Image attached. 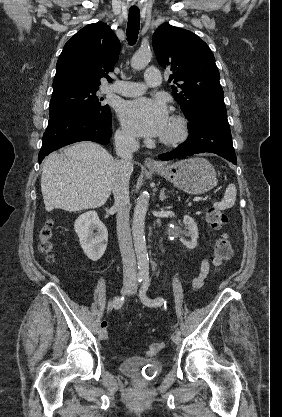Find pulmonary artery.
Instances as JSON below:
<instances>
[{
    "instance_id": "obj_1",
    "label": "pulmonary artery",
    "mask_w": 282,
    "mask_h": 417,
    "mask_svg": "<svg viewBox=\"0 0 282 417\" xmlns=\"http://www.w3.org/2000/svg\"><path fill=\"white\" fill-rule=\"evenodd\" d=\"M161 76L159 70L155 66L146 70L144 73V83L118 81L110 87V91L116 92L123 96H137L144 92L146 85L156 86L160 83Z\"/></svg>"
}]
</instances>
